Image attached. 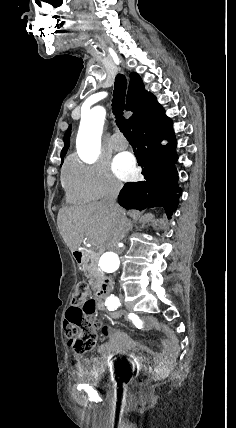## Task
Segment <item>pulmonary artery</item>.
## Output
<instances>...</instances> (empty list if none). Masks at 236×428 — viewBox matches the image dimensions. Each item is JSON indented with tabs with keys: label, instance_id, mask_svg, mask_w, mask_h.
Masks as SVG:
<instances>
[{
	"label": "pulmonary artery",
	"instance_id": "obj_1",
	"mask_svg": "<svg viewBox=\"0 0 236 428\" xmlns=\"http://www.w3.org/2000/svg\"><path fill=\"white\" fill-rule=\"evenodd\" d=\"M112 147L116 151H122L128 148V143L127 142L117 143V144H114Z\"/></svg>",
	"mask_w": 236,
	"mask_h": 428
}]
</instances>
